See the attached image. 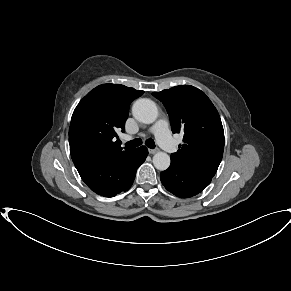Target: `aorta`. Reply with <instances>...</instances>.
<instances>
[{"mask_svg":"<svg viewBox=\"0 0 291 291\" xmlns=\"http://www.w3.org/2000/svg\"><path fill=\"white\" fill-rule=\"evenodd\" d=\"M132 114L139 122L151 124L158 117V109L154 101L141 98L133 104ZM153 164L156 169L164 171L170 166V156L165 152H157L153 156Z\"/></svg>","mask_w":291,"mask_h":291,"instance_id":"1","label":"aorta"}]
</instances>
